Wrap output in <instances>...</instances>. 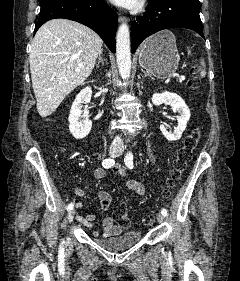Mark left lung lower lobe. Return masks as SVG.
<instances>
[{
  "instance_id": "left-lung-lower-lobe-1",
  "label": "left lung lower lobe",
  "mask_w": 240,
  "mask_h": 281,
  "mask_svg": "<svg viewBox=\"0 0 240 281\" xmlns=\"http://www.w3.org/2000/svg\"><path fill=\"white\" fill-rule=\"evenodd\" d=\"M168 28H188L204 38L199 0H148L146 13L131 25L132 52L146 37Z\"/></svg>"
}]
</instances>
